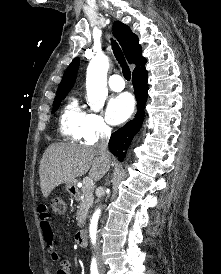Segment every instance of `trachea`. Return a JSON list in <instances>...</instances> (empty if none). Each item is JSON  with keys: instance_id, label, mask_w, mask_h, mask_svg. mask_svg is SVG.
Returning <instances> with one entry per match:
<instances>
[{"instance_id": "3493384b", "label": "trachea", "mask_w": 221, "mask_h": 274, "mask_svg": "<svg viewBox=\"0 0 221 274\" xmlns=\"http://www.w3.org/2000/svg\"><path fill=\"white\" fill-rule=\"evenodd\" d=\"M111 44H112L113 53H114L117 61L119 62L120 66L122 67V72H123L124 78L127 81H130L131 71L125 61V58L123 56V53H122L120 47L114 40L111 41Z\"/></svg>"}]
</instances>
